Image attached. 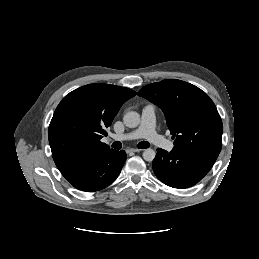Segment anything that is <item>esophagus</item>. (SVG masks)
<instances>
[{
  "instance_id": "1",
  "label": "esophagus",
  "mask_w": 259,
  "mask_h": 259,
  "mask_svg": "<svg viewBox=\"0 0 259 259\" xmlns=\"http://www.w3.org/2000/svg\"><path fill=\"white\" fill-rule=\"evenodd\" d=\"M129 152H141V149L131 148L128 150Z\"/></svg>"
}]
</instances>
